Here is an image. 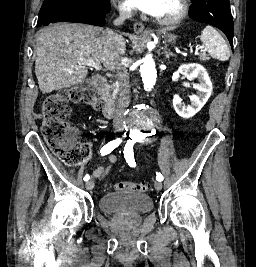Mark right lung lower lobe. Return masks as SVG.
<instances>
[{
	"label": "right lung lower lobe",
	"mask_w": 256,
	"mask_h": 267,
	"mask_svg": "<svg viewBox=\"0 0 256 267\" xmlns=\"http://www.w3.org/2000/svg\"><path fill=\"white\" fill-rule=\"evenodd\" d=\"M110 11V4L100 7H89L80 14H71L63 11H53L38 19V26H46L56 22H80L96 26L105 24V15Z\"/></svg>",
	"instance_id": "98d812e1"
}]
</instances>
